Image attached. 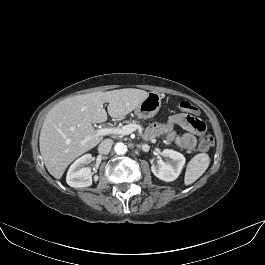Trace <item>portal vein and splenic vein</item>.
<instances>
[{
	"label": "portal vein and splenic vein",
	"mask_w": 265,
	"mask_h": 265,
	"mask_svg": "<svg viewBox=\"0 0 265 265\" xmlns=\"http://www.w3.org/2000/svg\"><path fill=\"white\" fill-rule=\"evenodd\" d=\"M138 126L136 124H128L122 127H104L96 130L97 136H106V135H129L132 132L136 131ZM91 137L86 138L82 141V144L90 140Z\"/></svg>",
	"instance_id": "portal-vein-and-splenic-vein-1"
}]
</instances>
